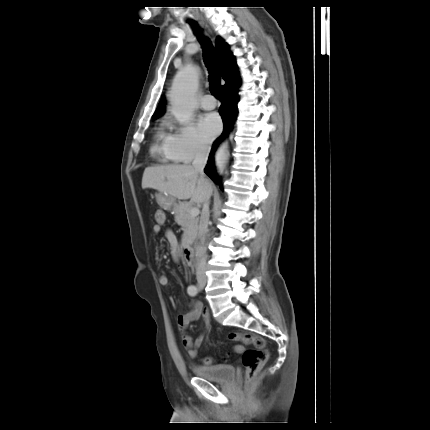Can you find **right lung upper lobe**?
Segmentation results:
<instances>
[{
  "instance_id": "cb5924a9",
  "label": "right lung upper lobe",
  "mask_w": 430,
  "mask_h": 430,
  "mask_svg": "<svg viewBox=\"0 0 430 430\" xmlns=\"http://www.w3.org/2000/svg\"><path fill=\"white\" fill-rule=\"evenodd\" d=\"M216 54L221 68L222 78L226 82L225 85L222 86V90L224 91L229 87L238 85L240 83V79L235 58L230 53L229 46L221 38L216 40ZM163 105L164 99L162 98L152 118H157L162 114Z\"/></svg>"
}]
</instances>
